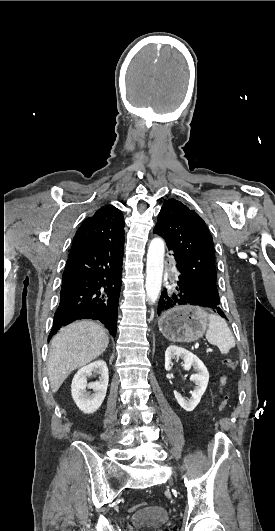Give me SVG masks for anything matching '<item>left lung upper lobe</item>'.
I'll return each instance as SVG.
<instances>
[{"mask_svg":"<svg viewBox=\"0 0 275 531\" xmlns=\"http://www.w3.org/2000/svg\"><path fill=\"white\" fill-rule=\"evenodd\" d=\"M154 230L163 237L176 257L178 285L207 307L220 303L213 239L203 219L175 199L166 200Z\"/></svg>","mask_w":275,"mask_h":531,"instance_id":"left-lung-upper-lobe-1","label":"left lung upper lobe"}]
</instances>
